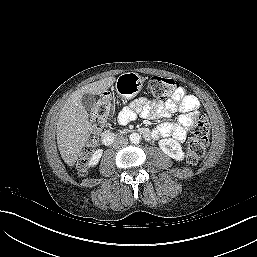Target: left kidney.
<instances>
[{
    "instance_id": "obj_1",
    "label": "left kidney",
    "mask_w": 257,
    "mask_h": 257,
    "mask_svg": "<svg viewBox=\"0 0 257 257\" xmlns=\"http://www.w3.org/2000/svg\"><path fill=\"white\" fill-rule=\"evenodd\" d=\"M160 149L170 158L176 161H182L185 157L180 143L172 138L161 139L159 142Z\"/></svg>"
}]
</instances>
